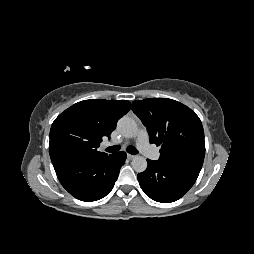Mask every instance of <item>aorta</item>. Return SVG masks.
Listing matches in <instances>:
<instances>
[{"label": "aorta", "mask_w": 254, "mask_h": 254, "mask_svg": "<svg viewBox=\"0 0 254 254\" xmlns=\"http://www.w3.org/2000/svg\"><path fill=\"white\" fill-rule=\"evenodd\" d=\"M117 128L121 134L127 138L133 137L137 132V124L135 120L128 116H124L118 121ZM131 165L137 173L144 172L147 168L146 158L136 155L132 159Z\"/></svg>", "instance_id": "obj_1"}]
</instances>
